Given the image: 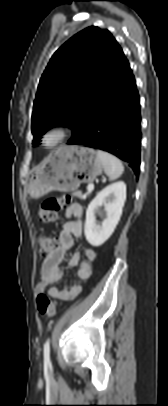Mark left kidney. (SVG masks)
<instances>
[{"label":"left kidney","instance_id":"1","mask_svg":"<svg viewBox=\"0 0 168 406\" xmlns=\"http://www.w3.org/2000/svg\"><path fill=\"white\" fill-rule=\"evenodd\" d=\"M125 200L126 184L119 181L105 187L90 202L86 210L84 227L89 244L98 247L110 238L122 215ZM96 215L102 219L101 222L97 221Z\"/></svg>","mask_w":168,"mask_h":406}]
</instances>
